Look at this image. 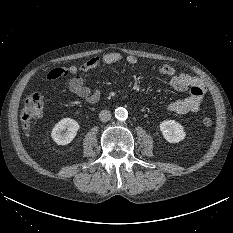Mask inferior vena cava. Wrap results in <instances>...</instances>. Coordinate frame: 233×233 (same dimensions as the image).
<instances>
[{
	"label": "inferior vena cava",
	"mask_w": 233,
	"mask_h": 233,
	"mask_svg": "<svg viewBox=\"0 0 233 233\" xmlns=\"http://www.w3.org/2000/svg\"><path fill=\"white\" fill-rule=\"evenodd\" d=\"M99 119L100 121L102 122H107L111 119V113L110 111L108 110H102L100 113H99Z\"/></svg>",
	"instance_id": "inferior-vena-cava-1"
}]
</instances>
